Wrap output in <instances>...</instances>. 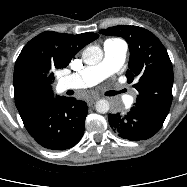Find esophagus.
Wrapping results in <instances>:
<instances>
[{
	"instance_id": "obj_1",
	"label": "esophagus",
	"mask_w": 187,
	"mask_h": 187,
	"mask_svg": "<svg viewBox=\"0 0 187 187\" xmlns=\"http://www.w3.org/2000/svg\"><path fill=\"white\" fill-rule=\"evenodd\" d=\"M97 99H98V98H89V99H87V100H86L87 105H88V106L93 105V104L96 102Z\"/></svg>"
}]
</instances>
